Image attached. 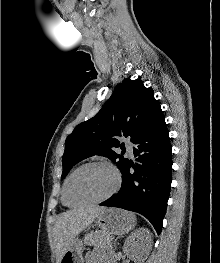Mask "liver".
Segmentation results:
<instances>
[{
	"label": "liver",
	"mask_w": 220,
	"mask_h": 263,
	"mask_svg": "<svg viewBox=\"0 0 220 263\" xmlns=\"http://www.w3.org/2000/svg\"><path fill=\"white\" fill-rule=\"evenodd\" d=\"M104 209L99 206L82 207L64 212L57 217L53 227L56 263H60L76 236L90 226Z\"/></svg>",
	"instance_id": "6515ba94"
}]
</instances>
